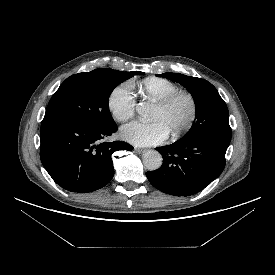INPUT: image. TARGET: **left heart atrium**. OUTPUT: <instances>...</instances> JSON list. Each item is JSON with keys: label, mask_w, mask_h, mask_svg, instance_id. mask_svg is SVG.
<instances>
[{"label": "left heart atrium", "mask_w": 275, "mask_h": 275, "mask_svg": "<svg viewBox=\"0 0 275 275\" xmlns=\"http://www.w3.org/2000/svg\"><path fill=\"white\" fill-rule=\"evenodd\" d=\"M169 131L161 121H133L121 129V137L135 146H151L162 143Z\"/></svg>", "instance_id": "39dd6f15"}]
</instances>
